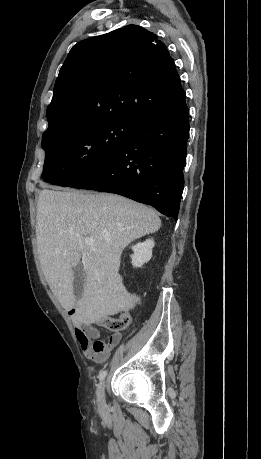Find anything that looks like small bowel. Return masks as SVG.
Wrapping results in <instances>:
<instances>
[{
	"instance_id": "c3829d8e",
	"label": "small bowel",
	"mask_w": 261,
	"mask_h": 459,
	"mask_svg": "<svg viewBox=\"0 0 261 459\" xmlns=\"http://www.w3.org/2000/svg\"><path fill=\"white\" fill-rule=\"evenodd\" d=\"M124 315L128 321L129 314L125 312ZM75 336L86 358L95 363L104 362L121 339V334L116 333L110 337L109 341H105L101 338L98 329L81 321L75 325Z\"/></svg>"
}]
</instances>
